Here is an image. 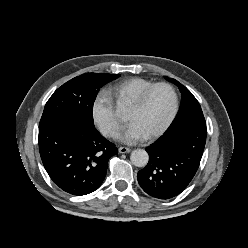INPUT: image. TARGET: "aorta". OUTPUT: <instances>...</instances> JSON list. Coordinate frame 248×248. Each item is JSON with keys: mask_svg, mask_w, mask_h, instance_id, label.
<instances>
[{"mask_svg": "<svg viewBox=\"0 0 248 248\" xmlns=\"http://www.w3.org/2000/svg\"><path fill=\"white\" fill-rule=\"evenodd\" d=\"M130 160L134 166L144 167L148 163L149 155L144 149H136L132 151Z\"/></svg>", "mask_w": 248, "mask_h": 248, "instance_id": "1", "label": "aorta"}]
</instances>
